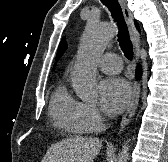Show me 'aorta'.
Here are the masks:
<instances>
[{"label":"aorta","mask_w":168,"mask_h":162,"mask_svg":"<svg viewBox=\"0 0 168 162\" xmlns=\"http://www.w3.org/2000/svg\"><path fill=\"white\" fill-rule=\"evenodd\" d=\"M115 31L111 24L89 21L81 38L77 62L71 71L73 88L82 100L95 99L98 92L96 81L95 60L105 50L114 37ZM129 142L122 146L117 162H127Z\"/></svg>","instance_id":"762f6f07"}]
</instances>
